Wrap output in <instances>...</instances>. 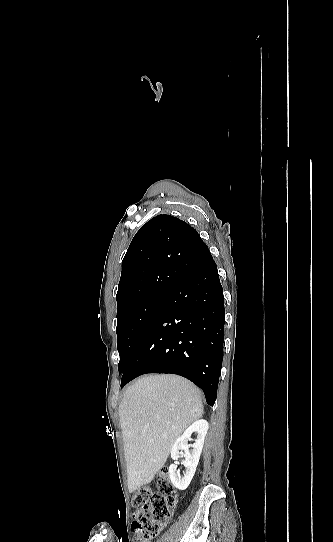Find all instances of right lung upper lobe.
Instances as JSON below:
<instances>
[{"label":"right lung upper lobe","instance_id":"cb5924a9","mask_svg":"<svg viewBox=\"0 0 333 542\" xmlns=\"http://www.w3.org/2000/svg\"><path fill=\"white\" fill-rule=\"evenodd\" d=\"M205 246L194 228L170 215H158L144 224L122 260L117 313L153 294L169 292L185 276L159 258L160 250L176 248L192 253Z\"/></svg>","mask_w":333,"mask_h":542}]
</instances>
